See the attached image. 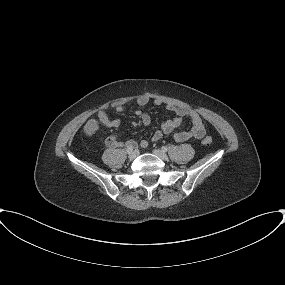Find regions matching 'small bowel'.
Wrapping results in <instances>:
<instances>
[{
  "label": "small bowel",
  "mask_w": 285,
  "mask_h": 285,
  "mask_svg": "<svg viewBox=\"0 0 285 285\" xmlns=\"http://www.w3.org/2000/svg\"><path fill=\"white\" fill-rule=\"evenodd\" d=\"M150 102L157 106H161L164 104L161 99H151L148 96H140L136 100L137 105L140 107L146 106ZM164 106L166 110L173 112L175 116L173 118L165 120L162 123L161 129L153 133L151 137L152 141H159L163 137V135L172 133L176 128L181 125L184 118L190 119L192 123V128L188 131H179L175 133V141L182 143L191 138L198 140L204 138L206 134V128L200 115L196 111L188 109L186 107L176 106L172 103H165ZM115 110L117 113L127 112V108L123 104L117 105L115 107ZM133 114L139 116L144 125L148 126L151 123V118L147 113L141 110H136L133 112ZM120 124V120L110 119L104 111H99L96 118L90 119L86 122L84 126V133L87 136H91L95 134L101 126L107 128H118ZM103 140L107 146L112 148H117L123 145V143L119 141L117 136L114 134L106 136ZM124 144L133 148L137 146L147 148L149 142L146 139L141 140L139 143L134 140H128Z\"/></svg>",
  "instance_id": "c3829d8e"
}]
</instances>
